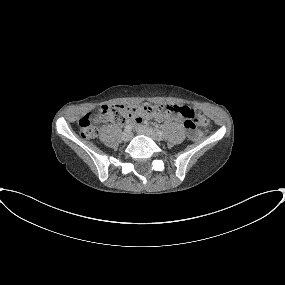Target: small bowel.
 Instances as JSON below:
<instances>
[{
  "label": "small bowel",
  "mask_w": 285,
  "mask_h": 285,
  "mask_svg": "<svg viewBox=\"0 0 285 285\" xmlns=\"http://www.w3.org/2000/svg\"><path fill=\"white\" fill-rule=\"evenodd\" d=\"M171 106H178V105L165 106L163 111L155 114V117H157L158 119H161V120L162 119H170V120H174V121H177L180 123H184L186 118H187L186 114H184V112L182 110H179V111L170 110L169 108ZM180 108H182V107H180ZM188 110L191 111L190 109H188ZM131 122L132 123H141V122H143V120L140 118H136V119L131 120Z\"/></svg>",
  "instance_id": "c3829d8e"
}]
</instances>
